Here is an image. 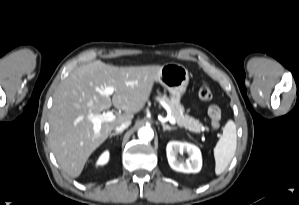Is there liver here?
<instances>
[{
  "label": "liver",
  "instance_id": "1",
  "mask_svg": "<svg viewBox=\"0 0 299 205\" xmlns=\"http://www.w3.org/2000/svg\"><path fill=\"white\" fill-rule=\"evenodd\" d=\"M161 66L117 67L101 61L80 66L59 86L50 113L49 144L60 167L78 177L89 156L121 123L132 120L149 100ZM114 87L112 98L102 94ZM119 113L103 122L98 134L88 115L100 114L111 106Z\"/></svg>",
  "mask_w": 299,
  "mask_h": 205
}]
</instances>
